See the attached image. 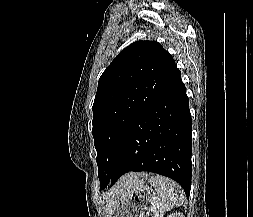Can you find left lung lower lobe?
<instances>
[{
	"instance_id": "left-lung-lower-lobe-1",
	"label": "left lung lower lobe",
	"mask_w": 253,
	"mask_h": 217,
	"mask_svg": "<svg viewBox=\"0 0 253 217\" xmlns=\"http://www.w3.org/2000/svg\"><path fill=\"white\" fill-rule=\"evenodd\" d=\"M191 125L189 99L180 76L133 122L102 189L129 171H150L174 179L189 197Z\"/></svg>"
}]
</instances>
